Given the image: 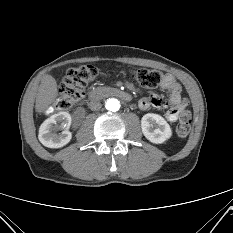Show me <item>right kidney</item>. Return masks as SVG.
Masks as SVG:
<instances>
[{
	"label": "right kidney",
	"mask_w": 233,
	"mask_h": 233,
	"mask_svg": "<svg viewBox=\"0 0 233 233\" xmlns=\"http://www.w3.org/2000/svg\"><path fill=\"white\" fill-rule=\"evenodd\" d=\"M71 116L68 112H59L46 119L39 128V141L48 148H60L68 144L72 138L68 130ZM65 129L57 134V131Z\"/></svg>",
	"instance_id": "ca27d5eb"
}]
</instances>
